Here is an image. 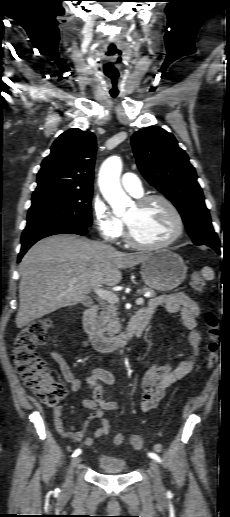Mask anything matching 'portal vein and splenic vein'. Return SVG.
I'll return each instance as SVG.
<instances>
[{
    "instance_id": "18ae733b",
    "label": "portal vein and splenic vein",
    "mask_w": 230,
    "mask_h": 517,
    "mask_svg": "<svg viewBox=\"0 0 230 517\" xmlns=\"http://www.w3.org/2000/svg\"><path fill=\"white\" fill-rule=\"evenodd\" d=\"M78 280L76 278H73L71 280H69V283L70 284H75ZM95 293L103 300H106L107 302L109 303H116L119 301V298L118 296L113 293V292H110V291H106V290H103V289H95ZM149 294V293H148ZM150 295V294H149ZM144 303V299L143 298H138L136 300V304L137 305H142Z\"/></svg>"
}]
</instances>
